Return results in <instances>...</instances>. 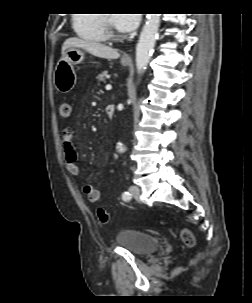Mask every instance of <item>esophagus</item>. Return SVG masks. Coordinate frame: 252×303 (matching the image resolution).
Returning a JSON list of instances; mask_svg holds the SVG:
<instances>
[{
    "mask_svg": "<svg viewBox=\"0 0 252 303\" xmlns=\"http://www.w3.org/2000/svg\"><path fill=\"white\" fill-rule=\"evenodd\" d=\"M131 58L128 55L123 56V60H130Z\"/></svg>",
    "mask_w": 252,
    "mask_h": 303,
    "instance_id": "obj_1",
    "label": "esophagus"
}]
</instances>
